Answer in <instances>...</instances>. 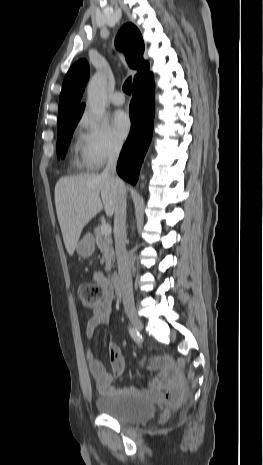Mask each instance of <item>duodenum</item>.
I'll list each match as a JSON object with an SVG mask.
<instances>
[{
  "label": "duodenum",
  "instance_id": "obj_1",
  "mask_svg": "<svg viewBox=\"0 0 263 465\" xmlns=\"http://www.w3.org/2000/svg\"><path fill=\"white\" fill-rule=\"evenodd\" d=\"M110 281L117 296L121 297L123 294V291H122L121 279L119 275L117 273L112 274Z\"/></svg>",
  "mask_w": 263,
  "mask_h": 465
}]
</instances>
